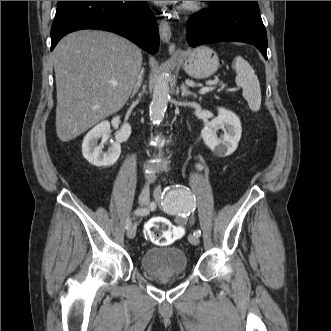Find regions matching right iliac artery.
<instances>
[{
    "label": "right iliac artery",
    "instance_id": "right-iliac-artery-1",
    "mask_svg": "<svg viewBox=\"0 0 331 331\" xmlns=\"http://www.w3.org/2000/svg\"><path fill=\"white\" fill-rule=\"evenodd\" d=\"M136 215H147L149 210L147 208L138 209L134 212ZM132 226L130 218L126 219L125 227L128 230Z\"/></svg>",
    "mask_w": 331,
    "mask_h": 331
}]
</instances>
